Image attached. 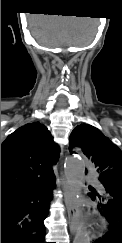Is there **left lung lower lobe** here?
Masks as SVG:
<instances>
[{"mask_svg":"<svg viewBox=\"0 0 122 243\" xmlns=\"http://www.w3.org/2000/svg\"><path fill=\"white\" fill-rule=\"evenodd\" d=\"M98 180L102 192L89 188L88 195L95 202L96 209L106 217L109 231L94 243H122V218L113 213L122 205V172H104L99 174Z\"/></svg>","mask_w":122,"mask_h":243,"instance_id":"0a47b994","label":"left lung lower lobe"}]
</instances>
